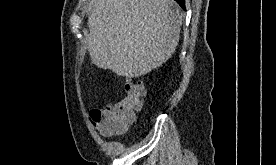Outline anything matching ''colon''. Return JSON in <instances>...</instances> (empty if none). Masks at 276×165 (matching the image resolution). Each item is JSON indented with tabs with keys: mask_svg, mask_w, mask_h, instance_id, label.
Returning a JSON list of instances; mask_svg holds the SVG:
<instances>
[{
	"mask_svg": "<svg viewBox=\"0 0 276 165\" xmlns=\"http://www.w3.org/2000/svg\"><path fill=\"white\" fill-rule=\"evenodd\" d=\"M145 96L144 85L140 81L129 80L125 84L124 96L107 104L101 113L90 116L94 125L104 121L107 124L108 133L123 131L135 118L138 111L142 109Z\"/></svg>",
	"mask_w": 276,
	"mask_h": 165,
	"instance_id": "obj_1",
	"label": "colon"
}]
</instances>
